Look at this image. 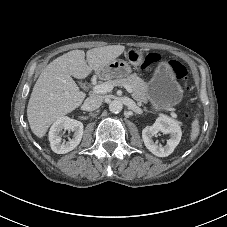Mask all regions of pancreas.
Instances as JSON below:
<instances>
[{
  "label": "pancreas",
  "mask_w": 227,
  "mask_h": 227,
  "mask_svg": "<svg viewBox=\"0 0 227 227\" xmlns=\"http://www.w3.org/2000/svg\"><path fill=\"white\" fill-rule=\"evenodd\" d=\"M108 83L113 86L129 85L132 89V96L138 102L146 101V92L148 85L137 74L128 75L125 78L109 79Z\"/></svg>",
  "instance_id": "1"
}]
</instances>
